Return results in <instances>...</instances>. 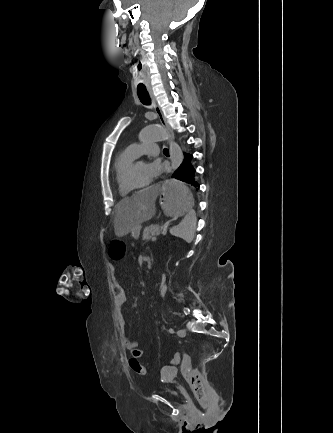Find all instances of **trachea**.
Listing matches in <instances>:
<instances>
[{
  "instance_id": "3493384b",
  "label": "trachea",
  "mask_w": 333,
  "mask_h": 433,
  "mask_svg": "<svg viewBox=\"0 0 333 433\" xmlns=\"http://www.w3.org/2000/svg\"><path fill=\"white\" fill-rule=\"evenodd\" d=\"M137 93H138V97H139L140 101L144 105H150L151 104L150 96H149V93H148V91H147V89H146L145 86L139 85L137 87ZM163 151H164V153L168 154V149L167 148H164Z\"/></svg>"
}]
</instances>
